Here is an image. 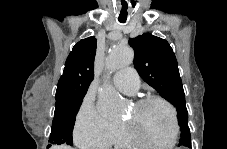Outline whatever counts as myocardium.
I'll return each instance as SVG.
<instances>
[{"label": "myocardium", "mask_w": 227, "mask_h": 149, "mask_svg": "<svg viewBox=\"0 0 227 149\" xmlns=\"http://www.w3.org/2000/svg\"><path fill=\"white\" fill-rule=\"evenodd\" d=\"M154 102H158V103L163 104L164 106H166L168 108V110L171 113L172 120H173V134H172V137H171L169 142L159 143V142H154V141H151V140L145 138L143 135H141L135 129V126H134L132 121L125 120L124 126H125L128 134H129V136L139 145L150 146V147H171V146L175 145L177 138H178V135H179V131H180L178 115H177V111L174 108V106L164 98H161V97H158V96H148V97L137 100L134 103L133 107L136 110H139L142 107H144L145 105L150 104V103H154Z\"/></svg>", "instance_id": "myocardium-1"}]
</instances>
